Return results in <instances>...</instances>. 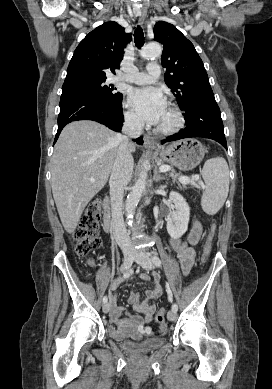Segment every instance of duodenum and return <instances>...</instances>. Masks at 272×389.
Returning a JSON list of instances; mask_svg holds the SVG:
<instances>
[{"label": "duodenum", "mask_w": 272, "mask_h": 389, "mask_svg": "<svg viewBox=\"0 0 272 389\" xmlns=\"http://www.w3.org/2000/svg\"><path fill=\"white\" fill-rule=\"evenodd\" d=\"M104 214H103V228L108 233L112 226V213L110 208V199L105 197L103 200Z\"/></svg>", "instance_id": "410a0bca"}]
</instances>
